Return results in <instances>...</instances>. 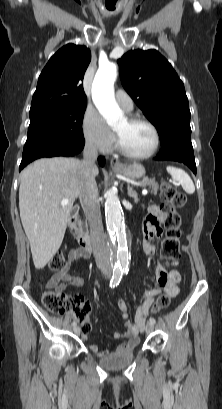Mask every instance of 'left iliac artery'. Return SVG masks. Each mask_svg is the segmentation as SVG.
<instances>
[{
	"instance_id": "obj_1",
	"label": "left iliac artery",
	"mask_w": 222,
	"mask_h": 409,
	"mask_svg": "<svg viewBox=\"0 0 222 409\" xmlns=\"http://www.w3.org/2000/svg\"><path fill=\"white\" fill-rule=\"evenodd\" d=\"M149 321H150L151 323H153V324L156 323V320H155L153 317H151Z\"/></svg>"
}]
</instances>
